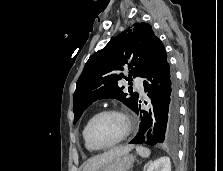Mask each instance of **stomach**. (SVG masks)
<instances>
[{
  "instance_id": "stomach-1",
  "label": "stomach",
  "mask_w": 223,
  "mask_h": 171,
  "mask_svg": "<svg viewBox=\"0 0 223 171\" xmlns=\"http://www.w3.org/2000/svg\"><path fill=\"white\" fill-rule=\"evenodd\" d=\"M134 156L122 154L115 157L111 162L101 167L98 171H129L134 163Z\"/></svg>"
}]
</instances>
